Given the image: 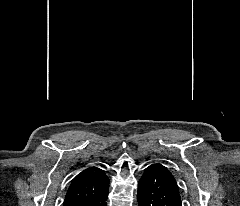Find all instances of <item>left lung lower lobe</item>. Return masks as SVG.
I'll list each match as a JSON object with an SVG mask.
<instances>
[{
	"instance_id": "0a47b994",
	"label": "left lung lower lobe",
	"mask_w": 240,
	"mask_h": 206,
	"mask_svg": "<svg viewBox=\"0 0 240 206\" xmlns=\"http://www.w3.org/2000/svg\"><path fill=\"white\" fill-rule=\"evenodd\" d=\"M139 206H182L170 171L159 163L145 169L138 183Z\"/></svg>"
}]
</instances>
